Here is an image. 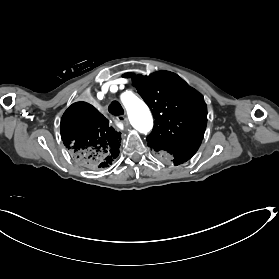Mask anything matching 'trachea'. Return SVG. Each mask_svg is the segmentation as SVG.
Listing matches in <instances>:
<instances>
[{"mask_svg":"<svg viewBox=\"0 0 279 279\" xmlns=\"http://www.w3.org/2000/svg\"><path fill=\"white\" fill-rule=\"evenodd\" d=\"M108 110L111 114L113 115H120V114H124V110L122 108V105L117 102V101H113L109 107Z\"/></svg>","mask_w":279,"mask_h":279,"instance_id":"trachea-1","label":"trachea"}]
</instances>
